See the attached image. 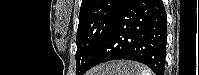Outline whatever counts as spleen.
I'll use <instances>...</instances> for the list:
<instances>
[{
	"mask_svg": "<svg viewBox=\"0 0 199 75\" xmlns=\"http://www.w3.org/2000/svg\"><path fill=\"white\" fill-rule=\"evenodd\" d=\"M139 68H140V75H153V72L150 69L140 66Z\"/></svg>",
	"mask_w": 199,
	"mask_h": 75,
	"instance_id": "3e777b00",
	"label": "spleen"
}]
</instances>
